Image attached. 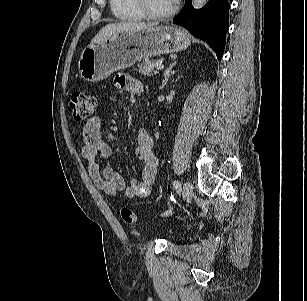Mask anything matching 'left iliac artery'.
<instances>
[{
    "label": "left iliac artery",
    "mask_w": 307,
    "mask_h": 301,
    "mask_svg": "<svg viewBox=\"0 0 307 301\" xmlns=\"http://www.w3.org/2000/svg\"><path fill=\"white\" fill-rule=\"evenodd\" d=\"M173 186H174V188L176 189V191H177L178 193L181 191V184H180V182H179L178 180H174ZM169 212H171V209L168 210V211H166V212L163 213V214H166V215H167ZM163 214H162V215H163Z\"/></svg>",
    "instance_id": "obj_1"
}]
</instances>
